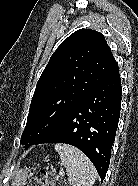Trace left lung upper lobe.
Wrapping results in <instances>:
<instances>
[{
	"label": "left lung upper lobe",
	"mask_w": 138,
	"mask_h": 186,
	"mask_svg": "<svg viewBox=\"0 0 138 186\" xmlns=\"http://www.w3.org/2000/svg\"><path fill=\"white\" fill-rule=\"evenodd\" d=\"M117 65L104 36L79 29L51 56L37 82L20 144L51 132Z\"/></svg>",
	"instance_id": "5c2ea615"
}]
</instances>
